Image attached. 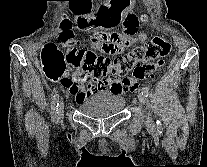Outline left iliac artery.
Returning <instances> with one entry per match:
<instances>
[{
	"mask_svg": "<svg viewBox=\"0 0 207 167\" xmlns=\"http://www.w3.org/2000/svg\"><path fill=\"white\" fill-rule=\"evenodd\" d=\"M141 92H142V94H143L144 96H146V97L149 96V91H148V89H147L146 87H143L142 90H141ZM156 124H157V127H158V128H162V125H161L160 120H157V121H156Z\"/></svg>",
	"mask_w": 207,
	"mask_h": 167,
	"instance_id": "1",
	"label": "left iliac artery"
}]
</instances>
